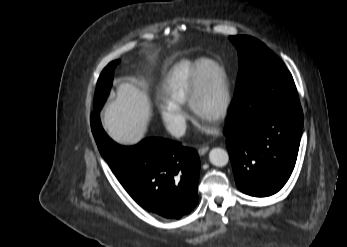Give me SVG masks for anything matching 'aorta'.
Returning <instances> with one entry per match:
<instances>
[{
	"label": "aorta",
	"mask_w": 347,
	"mask_h": 247,
	"mask_svg": "<svg viewBox=\"0 0 347 247\" xmlns=\"http://www.w3.org/2000/svg\"><path fill=\"white\" fill-rule=\"evenodd\" d=\"M209 160L213 165L223 167L228 163L229 155L224 149L217 147L209 152Z\"/></svg>",
	"instance_id": "762f6f07"
}]
</instances>
